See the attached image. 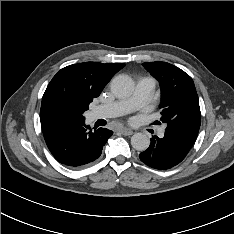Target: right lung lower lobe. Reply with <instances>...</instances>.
Instances as JSON below:
<instances>
[{"label": "right lung lower lobe", "mask_w": 234, "mask_h": 234, "mask_svg": "<svg viewBox=\"0 0 234 234\" xmlns=\"http://www.w3.org/2000/svg\"><path fill=\"white\" fill-rule=\"evenodd\" d=\"M41 127L54 158L69 167H82L95 161L113 133L106 128L92 131L90 126L85 125V118L53 122Z\"/></svg>", "instance_id": "98d812e1"}]
</instances>
